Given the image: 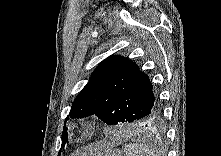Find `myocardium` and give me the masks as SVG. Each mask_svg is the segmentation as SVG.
<instances>
[{"label": "myocardium", "mask_w": 221, "mask_h": 156, "mask_svg": "<svg viewBox=\"0 0 221 156\" xmlns=\"http://www.w3.org/2000/svg\"><path fill=\"white\" fill-rule=\"evenodd\" d=\"M98 125L94 119H80L68 128V137L74 141H82L91 137L97 131Z\"/></svg>", "instance_id": "f54148a6"}]
</instances>
